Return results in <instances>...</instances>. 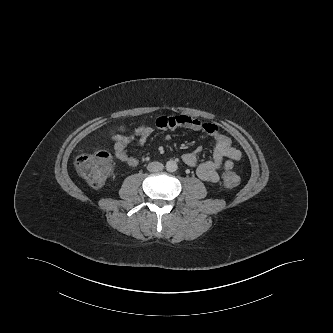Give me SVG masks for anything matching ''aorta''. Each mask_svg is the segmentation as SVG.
I'll use <instances>...</instances> for the list:
<instances>
[{
	"label": "aorta",
	"mask_w": 333,
	"mask_h": 333,
	"mask_svg": "<svg viewBox=\"0 0 333 333\" xmlns=\"http://www.w3.org/2000/svg\"><path fill=\"white\" fill-rule=\"evenodd\" d=\"M177 168H178L177 163L173 160H169L166 163V170L168 172H175L177 170Z\"/></svg>",
	"instance_id": "aorta-1"
}]
</instances>
